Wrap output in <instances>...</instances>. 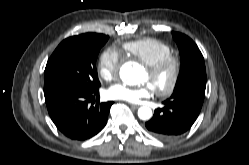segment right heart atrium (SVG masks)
<instances>
[{"label": "right heart atrium", "instance_id": "obj_1", "mask_svg": "<svg viewBox=\"0 0 249 165\" xmlns=\"http://www.w3.org/2000/svg\"><path fill=\"white\" fill-rule=\"evenodd\" d=\"M121 66V57L113 47L105 49L98 61V74L105 81H111L118 75Z\"/></svg>", "mask_w": 249, "mask_h": 165}]
</instances>
